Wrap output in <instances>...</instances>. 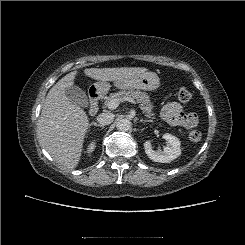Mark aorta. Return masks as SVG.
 Listing matches in <instances>:
<instances>
[{"instance_id":"762f6f07","label":"aorta","mask_w":245,"mask_h":245,"mask_svg":"<svg viewBox=\"0 0 245 245\" xmlns=\"http://www.w3.org/2000/svg\"><path fill=\"white\" fill-rule=\"evenodd\" d=\"M116 127L119 131L126 132L131 128V121L127 118H120L117 121Z\"/></svg>"}]
</instances>
